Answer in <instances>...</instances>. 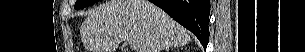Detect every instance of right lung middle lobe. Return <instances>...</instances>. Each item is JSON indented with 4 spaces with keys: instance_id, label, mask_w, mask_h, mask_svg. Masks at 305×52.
Listing matches in <instances>:
<instances>
[{
    "instance_id": "1",
    "label": "right lung middle lobe",
    "mask_w": 305,
    "mask_h": 52,
    "mask_svg": "<svg viewBox=\"0 0 305 52\" xmlns=\"http://www.w3.org/2000/svg\"><path fill=\"white\" fill-rule=\"evenodd\" d=\"M98 1L99 0H77L74 7H75V9H82V8L92 5Z\"/></svg>"
}]
</instances>
